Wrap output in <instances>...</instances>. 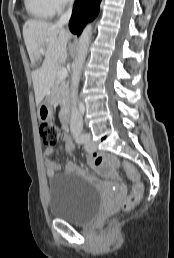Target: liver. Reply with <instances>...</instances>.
Returning <instances> with one entry per match:
<instances>
[{
  "mask_svg": "<svg viewBox=\"0 0 174 258\" xmlns=\"http://www.w3.org/2000/svg\"><path fill=\"white\" fill-rule=\"evenodd\" d=\"M23 37L33 65L44 56L42 65L32 72L36 105L39 106L53 87L58 65L66 62L67 43L71 35L56 24L27 20L23 26ZM42 48H45L43 54L40 52Z\"/></svg>",
  "mask_w": 174,
  "mask_h": 258,
  "instance_id": "1",
  "label": "liver"
}]
</instances>
